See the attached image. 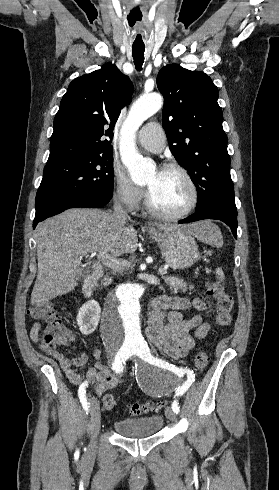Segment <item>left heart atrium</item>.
<instances>
[{
    "instance_id": "obj_1",
    "label": "left heart atrium",
    "mask_w": 279,
    "mask_h": 490,
    "mask_svg": "<svg viewBox=\"0 0 279 490\" xmlns=\"http://www.w3.org/2000/svg\"><path fill=\"white\" fill-rule=\"evenodd\" d=\"M157 179H158V175H157V177H156V180H157ZM149 190H150V189H149Z\"/></svg>"
}]
</instances>
